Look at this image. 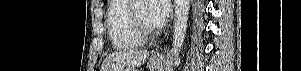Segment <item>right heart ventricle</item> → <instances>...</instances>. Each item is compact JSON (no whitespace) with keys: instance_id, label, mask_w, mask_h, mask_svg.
Instances as JSON below:
<instances>
[{"instance_id":"obj_1","label":"right heart ventricle","mask_w":301,"mask_h":71,"mask_svg":"<svg viewBox=\"0 0 301 71\" xmlns=\"http://www.w3.org/2000/svg\"><path fill=\"white\" fill-rule=\"evenodd\" d=\"M130 3L129 0H114L108 9L107 29L111 44L115 49H131L144 43L131 26Z\"/></svg>"}]
</instances>
